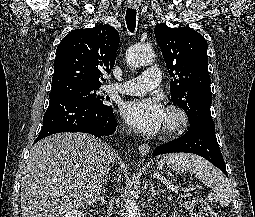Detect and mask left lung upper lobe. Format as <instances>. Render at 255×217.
<instances>
[{
  "label": "left lung upper lobe",
  "mask_w": 255,
  "mask_h": 217,
  "mask_svg": "<svg viewBox=\"0 0 255 217\" xmlns=\"http://www.w3.org/2000/svg\"><path fill=\"white\" fill-rule=\"evenodd\" d=\"M154 33L173 77L170 83L173 104L186 112L190 126L213 122L205 38L189 27L170 28L165 23L158 24Z\"/></svg>",
  "instance_id": "1"
}]
</instances>
